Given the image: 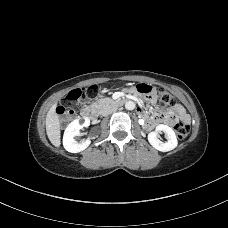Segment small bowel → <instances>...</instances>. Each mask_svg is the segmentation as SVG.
I'll list each match as a JSON object with an SVG mask.
<instances>
[{
  "label": "small bowel",
  "mask_w": 228,
  "mask_h": 228,
  "mask_svg": "<svg viewBox=\"0 0 228 228\" xmlns=\"http://www.w3.org/2000/svg\"><path fill=\"white\" fill-rule=\"evenodd\" d=\"M149 98L151 101H155V95H151V96H149ZM140 112L143 115L147 114V111L144 108H141ZM177 118H180L185 123L189 122V116L180 104H175L173 107V110L170 112L159 114V115L152 117L153 121L148 122L147 125L149 127H153L154 125H156L158 123L172 124L173 121Z\"/></svg>",
  "instance_id": "1"
}]
</instances>
